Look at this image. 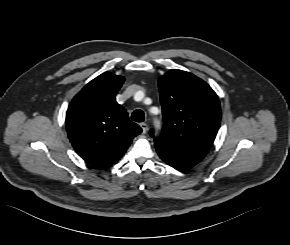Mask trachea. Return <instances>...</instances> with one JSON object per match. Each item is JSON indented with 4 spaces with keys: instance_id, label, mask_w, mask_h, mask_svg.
Listing matches in <instances>:
<instances>
[{
    "instance_id": "trachea-1",
    "label": "trachea",
    "mask_w": 290,
    "mask_h": 245,
    "mask_svg": "<svg viewBox=\"0 0 290 245\" xmlns=\"http://www.w3.org/2000/svg\"><path fill=\"white\" fill-rule=\"evenodd\" d=\"M131 119L135 122H143L144 121V112L142 110H135L132 115Z\"/></svg>"
}]
</instances>
